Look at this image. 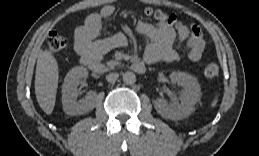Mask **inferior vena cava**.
<instances>
[{
	"label": "inferior vena cava",
	"instance_id": "1",
	"mask_svg": "<svg viewBox=\"0 0 259 156\" xmlns=\"http://www.w3.org/2000/svg\"><path fill=\"white\" fill-rule=\"evenodd\" d=\"M119 77V74L118 73H110L106 76V80L109 82V83H114Z\"/></svg>",
	"mask_w": 259,
	"mask_h": 156
}]
</instances>
